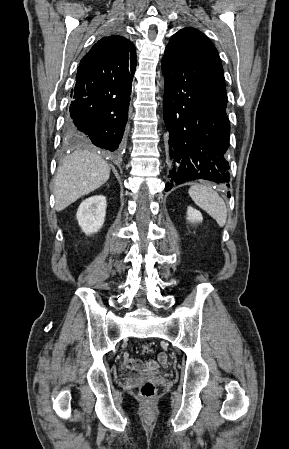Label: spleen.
<instances>
[{
	"mask_svg": "<svg viewBox=\"0 0 289 449\" xmlns=\"http://www.w3.org/2000/svg\"><path fill=\"white\" fill-rule=\"evenodd\" d=\"M192 200L203 210H205L220 227L226 224L227 208L224 200L211 188L194 184L188 191Z\"/></svg>",
	"mask_w": 289,
	"mask_h": 449,
	"instance_id": "3e777b00",
	"label": "spleen"
}]
</instances>
